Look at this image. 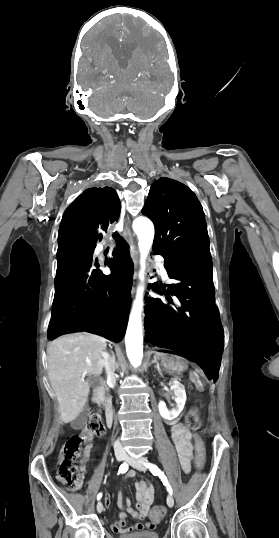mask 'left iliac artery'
<instances>
[{"mask_svg": "<svg viewBox=\"0 0 279 538\" xmlns=\"http://www.w3.org/2000/svg\"><path fill=\"white\" fill-rule=\"evenodd\" d=\"M145 466L150 469V471L152 472L153 475H158L160 477L163 484L166 486L168 492L170 494H172V488H171V486H170V484L168 482V479H167L166 475L155 464L146 463Z\"/></svg>", "mask_w": 279, "mask_h": 538, "instance_id": "obj_1", "label": "left iliac artery"}]
</instances>
